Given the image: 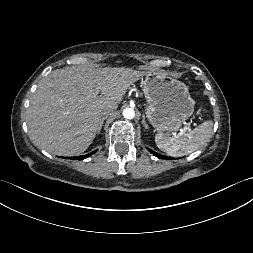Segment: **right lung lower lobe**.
Here are the masks:
<instances>
[{"mask_svg":"<svg viewBox=\"0 0 253 253\" xmlns=\"http://www.w3.org/2000/svg\"><path fill=\"white\" fill-rule=\"evenodd\" d=\"M96 151H97V150H95V151H93V152H91V153H89V154L83 155V156L72 157L71 159L82 160V159H85V158L91 156V155H92L93 153H95Z\"/></svg>","mask_w":253,"mask_h":253,"instance_id":"98d812e1","label":"right lung lower lobe"}]
</instances>
